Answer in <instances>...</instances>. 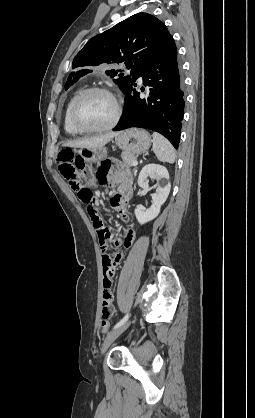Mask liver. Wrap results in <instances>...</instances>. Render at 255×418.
Instances as JSON below:
<instances>
[{"label":"liver","instance_id":"liver-1","mask_svg":"<svg viewBox=\"0 0 255 418\" xmlns=\"http://www.w3.org/2000/svg\"><path fill=\"white\" fill-rule=\"evenodd\" d=\"M118 133L109 132L104 135L96 136V137H89L79 140L67 141L63 144L65 147H73V148H102L104 147L111 139L116 137Z\"/></svg>","mask_w":255,"mask_h":418}]
</instances>
